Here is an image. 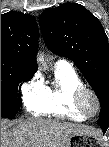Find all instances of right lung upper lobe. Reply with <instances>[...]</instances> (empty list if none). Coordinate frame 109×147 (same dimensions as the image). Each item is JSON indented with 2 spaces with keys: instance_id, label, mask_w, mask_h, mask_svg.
I'll list each match as a JSON object with an SVG mask.
<instances>
[{
  "instance_id": "cb5924a9",
  "label": "right lung upper lobe",
  "mask_w": 109,
  "mask_h": 147,
  "mask_svg": "<svg viewBox=\"0 0 109 147\" xmlns=\"http://www.w3.org/2000/svg\"><path fill=\"white\" fill-rule=\"evenodd\" d=\"M38 25L30 14L1 15V61L37 70Z\"/></svg>"
}]
</instances>
